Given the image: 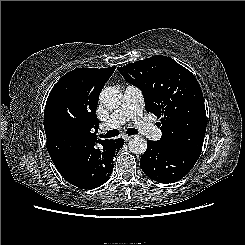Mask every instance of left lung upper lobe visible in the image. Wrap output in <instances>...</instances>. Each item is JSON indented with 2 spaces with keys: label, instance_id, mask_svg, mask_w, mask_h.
<instances>
[{
  "label": "left lung upper lobe",
  "instance_id": "left-lung-upper-lobe-1",
  "mask_svg": "<svg viewBox=\"0 0 245 245\" xmlns=\"http://www.w3.org/2000/svg\"><path fill=\"white\" fill-rule=\"evenodd\" d=\"M123 77L143 92L145 108L160 119L159 142L172 151L200 154L206 132L203 94L195 76L167 56H153L124 67Z\"/></svg>",
  "mask_w": 245,
  "mask_h": 245
}]
</instances>
